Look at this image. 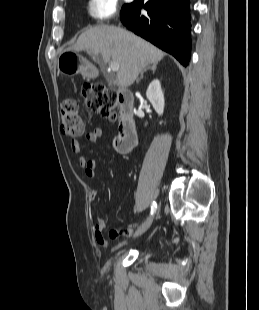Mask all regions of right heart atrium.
I'll list each match as a JSON object with an SVG mask.
<instances>
[{
    "label": "right heart atrium",
    "mask_w": 259,
    "mask_h": 310,
    "mask_svg": "<svg viewBox=\"0 0 259 310\" xmlns=\"http://www.w3.org/2000/svg\"><path fill=\"white\" fill-rule=\"evenodd\" d=\"M85 8L90 19L104 22L116 15L118 0H87Z\"/></svg>",
    "instance_id": "obj_1"
}]
</instances>
